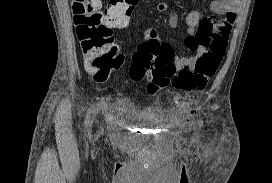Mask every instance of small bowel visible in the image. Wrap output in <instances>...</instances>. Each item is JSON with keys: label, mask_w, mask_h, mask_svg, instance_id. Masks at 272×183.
Here are the masks:
<instances>
[{"label": "small bowel", "mask_w": 272, "mask_h": 183, "mask_svg": "<svg viewBox=\"0 0 272 183\" xmlns=\"http://www.w3.org/2000/svg\"><path fill=\"white\" fill-rule=\"evenodd\" d=\"M240 8V0H212L210 2L211 12L217 16H203L198 10H191L185 17L186 34L183 38V45L193 51L187 57L177 58L175 66L178 70L185 67H192L196 61L206 52L208 43L216 37L228 36L234 25L237 13ZM157 9L161 12L168 11L166 3H159ZM177 16L171 13L169 16V26L175 27ZM144 41H154L159 39L157 30L148 27L143 34ZM106 77L95 78L97 81H104Z\"/></svg>", "instance_id": "1"}]
</instances>
